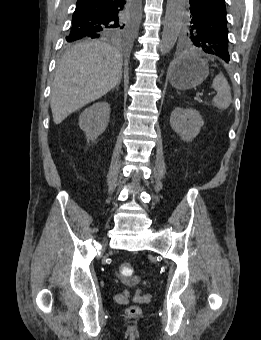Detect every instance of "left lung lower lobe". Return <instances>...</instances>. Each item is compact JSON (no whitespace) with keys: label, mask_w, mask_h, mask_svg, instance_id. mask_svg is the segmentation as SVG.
<instances>
[{"label":"left lung lower lobe","mask_w":261,"mask_h":340,"mask_svg":"<svg viewBox=\"0 0 261 340\" xmlns=\"http://www.w3.org/2000/svg\"><path fill=\"white\" fill-rule=\"evenodd\" d=\"M189 1V11L192 16L209 15L226 16L225 0H187ZM230 59L225 62L228 63Z\"/></svg>","instance_id":"obj_1"}]
</instances>
